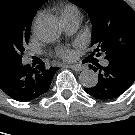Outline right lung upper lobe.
<instances>
[{
	"mask_svg": "<svg viewBox=\"0 0 135 135\" xmlns=\"http://www.w3.org/2000/svg\"><path fill=\"white\" fill-rule=\"evenodd\" d=\"M15 1L19 2L24 8V10L27 13L32 14V16L34 17L37 8L40 7L47 0H15Z\"/></svg>",
	"mask_w": 135,
	"mask_h": 135,
	"instance_id": "cb5924a9",
	"label": "right lung upper lobe"
}]
</instances>
